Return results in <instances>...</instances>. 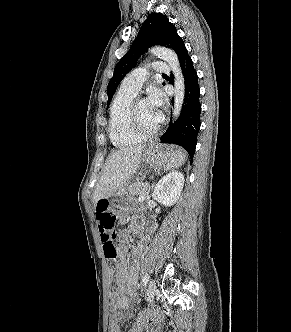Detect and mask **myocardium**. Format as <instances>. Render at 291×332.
<instances>
[{
  "mask_svg": "<svg viewBox=\"0 0 291 332\" xmlns=\"http://www.w3.org/2000/svg\"><path fill=\"white\" fill-rule=\"evenodd\" d=\"M144 100L141 98H135L130 106V111H129V122H130V127L131 130L139 137L146 139V138H150L153 137L155 135H157L161 128V122L158 124L157 127H155L154 129L151 130H146L144 129L139 121V116H138V103L139 101Z\"/></svg>",
  "mask_w": 291,
  "mask_h": 332,
  "instance_id": "obj_1",
  "label": "myocardium"
}]
</instances>
